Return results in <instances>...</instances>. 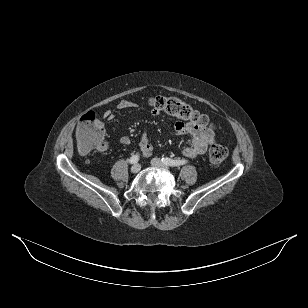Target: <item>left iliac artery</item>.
I'll list each match as a JSON object with an SVG mask.
<instances>
[{"instance_id": "left-iliac-artery-1", "label": "left iliac artery", "mask_w": 308, "mask_h": 308, "mask_svg": "<svg viewBox=\"0 0 308 308\" xmlns=\"http://www.w3.org/2000/svg\"><path fill=\"white\" fill-rule=\"evenodd\" d=\"M162 162L168 166H171V167H177V166H181V165H184L187 163L186 160H173V159H170V158H162L161 159Z\"/></svg>"}]
</instances>
